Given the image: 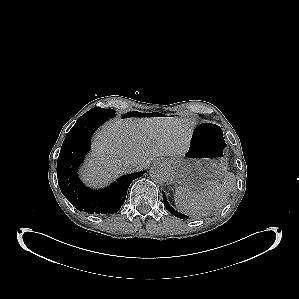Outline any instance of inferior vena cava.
<instances>
[{
  "label": "inferior vena cava",
  "instance_id": "1",
  "mask_svg": "<svg viewBox=\"0 0 299 299\" xmlns=\"http://www.w3.org/2000/svg\"><path fill=\"white\" fill-rule=\"evenodd\" d=\"M130 166L132 167V168H134V169H139L140 167H141V164L140 163H137V162H132L131 164H130Z\"/></svg>",
  "mask_w": 299,
  "mask_h": 299
}]
</instances>
